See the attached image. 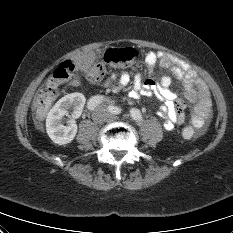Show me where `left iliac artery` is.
<instances>
[{
	"instance_id": "1",
	"label": "left iliac artery",
	"mask_w": 233,
	"mask_h": 233,
	"mask_svg": "<svg viewBox=\"0 0 233 233\" xmlns=\"http://www.w3.org/2000/svg\"><path fill=\"white\" fill-rule=\"evenodd\" d=\"M108 110L112 113V114H120L122 109L116 106H108ZM130 115L133 118V120L135 121H141L142 117H141V113L137 110V109H130Z\"/></svg>"
}]
</instances>
